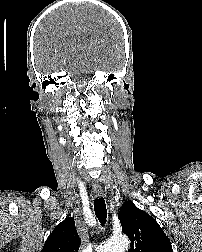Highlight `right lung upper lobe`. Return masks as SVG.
<instances>
[{
  "label": "right lung upper lobe",
  "mask_w": 202,
  "mask_h": 252,
  "mask_svg": "<svg viewBox=\"0 0 202 252\" xmlns=\"http://www.w3.org/2000/svg\"><path fill=\"white\" fill-rule=\"evenodd\" d=\"M80 239L74 218H66L47 238L41 252H78Z\"/></svg>",
  "instance_id": "cb5924a9"
}]
</instances>
